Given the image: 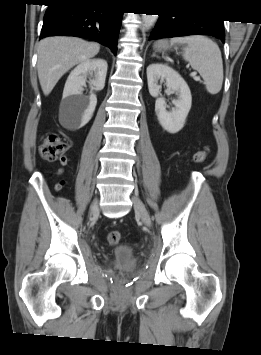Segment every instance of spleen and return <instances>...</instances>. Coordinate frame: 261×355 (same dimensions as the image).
<instances>
[{
  "label": "spleen",
  "instance_id": "obj_1",
  "mask_svg": "<svg viewBox=\"0 0 261 355\" xmlns=\"http://www.w3.org/2000/svg\"><path fill=\"white\" fill-rule=\"evenodd\" d=\"M170 42L172 45L187 44L183 59L199 72L208 93H219L223 83V61L218 45L201 35L175 37Z\"/></svg>",
  "mask_w": 261,
  "mask_h": 355
}]
</instances>
